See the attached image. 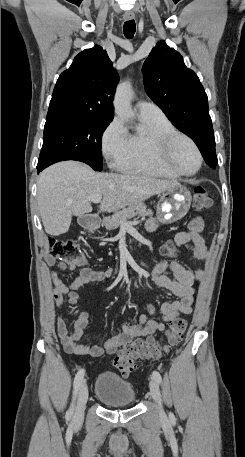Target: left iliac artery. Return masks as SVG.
Segmentation results:
<instances>
[{"label": "left iliac artery", "instance_id": "obj_1", "mask_svg": "<svg viewBox=\"0 0 245 457\" xmlns=\"http://www.w3.org/2000/svg\"><path fill=\"white\" fill-rule=\"evenodd\" d=\"M152 376L158 383L162 382L161 374L158 371H153Z\"/></svg>", "mask_w": 245, "mask_h": 457}]
</instances>
